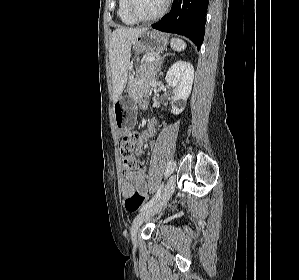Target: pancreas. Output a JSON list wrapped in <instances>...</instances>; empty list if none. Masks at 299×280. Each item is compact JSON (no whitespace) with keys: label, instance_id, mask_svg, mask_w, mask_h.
<instances>
[{"label":"pancreas","instance_id":"obj_1","mask_svg":"<svg viewBox=\"0 0 299 280\" xmlns=\"http://www.w3.org/2000/svg\"><path fill=\"white\" fill-rule=\"evenodd\" d=\"M159 66V62L157 61H144L141 64L139 76L132 79L128 84L129 92L136 93L141 89L149 88L151 81L156 77Z\"/></svg>","mask_w":299,"mask_h":280}]
</instances>
